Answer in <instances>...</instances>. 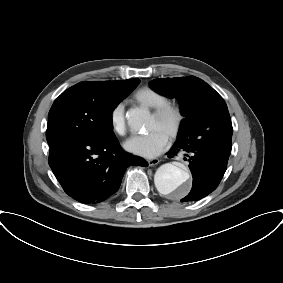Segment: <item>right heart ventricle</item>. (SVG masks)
Returning <instances> with one entry per match:
<instances>
[{"label":"right heart ventricle","mask_w":283,"mask_h":283,"mask_svg":"<svg viewBox=\"0 0 283 283\" xmlns=\"http://www.w3.org/2000/svg\"><path fill=\"white\" fill-rule=\"evenodd\" d=\"M134 99L141 106L152 109L169 101L164 93L151 87H143L137 90L134 94Z\"/></svg>","instance_id":"obj_1"}]
</instances>
